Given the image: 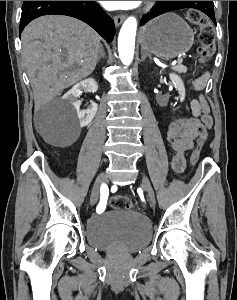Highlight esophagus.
I'll return each mask as SVG.
<instances>
[{
    "label": "esophagus",
    "instance_id": "1",
    "mask_svg": "<svg viewBox=\"0 0 237 300\" xmlns=\"http://www.w3.org/2000/svg\"><path fill=\"white\" fill-rule=\"evenodd\" d=\"M125 16L124 15H117L114 16V22H115V26H120L122 24V22L124 21Z\"/></svg>",
    "mask_w": 237,
    "mask_h": 300
}]
</instances>
